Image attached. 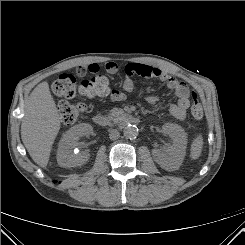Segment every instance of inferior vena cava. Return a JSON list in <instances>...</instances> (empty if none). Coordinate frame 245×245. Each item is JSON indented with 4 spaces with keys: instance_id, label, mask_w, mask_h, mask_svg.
<instances>
[{
    "instance_id": "obj_1",
    "label": "inferior vena cava",
    "mask_w": 245,
    "mask_h": 245,
    "mask_svg": "<svg viewBox=\"0 0 245 245\" xmlns=\"http://www.w3.org/2000/svg\"><path fill=\"white\" fill-rule=\"evenodd\" d=\"M119 136H120V134H119V131L118 130H116V129L110 130V132H109V138L111 140H116V139L119 138Z\"/></svg>"
}]
</instances>
